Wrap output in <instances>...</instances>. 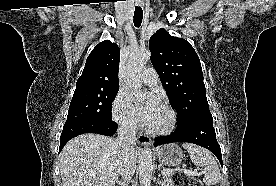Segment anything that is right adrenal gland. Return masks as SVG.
I'll list each match as a JSON object with an SVG mask.
<instances>
[{"instance_id": "obj_1", "label": "right adrenal gland", "mask_w": 276, "mask_h": 186, "mask_svg": "<svg viewBox=\"0 0 276 186\" xmlns=\"http://www.w3.org/2000/svg\"><path fill=\"white\" fill-rule=\"evenodd\" d=\"M116 183H117L119 186H127V184H126L123 180H118V181H116Z\"/></svg>"}]
</instances>
